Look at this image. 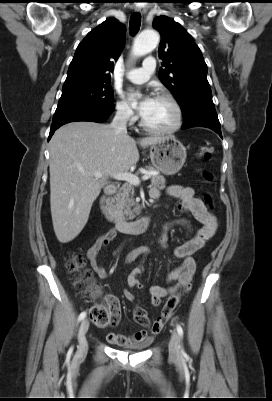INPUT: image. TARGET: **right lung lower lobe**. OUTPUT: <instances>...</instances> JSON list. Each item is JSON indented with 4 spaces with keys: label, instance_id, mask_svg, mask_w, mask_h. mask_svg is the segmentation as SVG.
<instances>
[{
    "label": "right lung lower lobe",
    "instance_id": "1",
    "mask_svg": "<svg viewBox=\"0 0 272 401\" xmlns=\"http://www.w3.org/2000/svg\"><path fill=\"white\" fill-rule=\"evenodd\" d=\"M109 115L110 114H99V113H95V112H78V113H74V114L53 120L48 141L54 134L55 130H57L60 126L66 124V123L74 122V121H91V122L102 123L108 119Z\"/></svg>",
    "mask_w": 272,
    "mask_h": 401
}]
</instances>
